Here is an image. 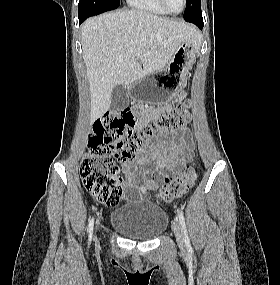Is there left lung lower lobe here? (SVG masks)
<instances>
[{
    "label": "left lung lower lobe",
    "instance_id": "obj_1",
    "mask_svg": "<svg viewBox=\"0 0 280 285\" xmlns=\"http://www.w3.org/2000/svg\"><path fill=\"white\" fill-rule=\"evenodd\" d=\"M195 25H197L200 29L203 27V19L199 22H194Z\"/></svg>",
    "mask_w": 280,
    "mask_h": 285
}]
</instances>
